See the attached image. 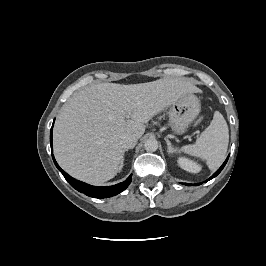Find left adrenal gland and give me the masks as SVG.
I'll list each match as a JSON object with an SVG mask.
<instances>
[{
  "label": "left adrenal gland",
  "mask_w": 266,
  "mask_h": 266,
  "mask_svg": "<svg viewBox=\"0 0 266 266\" xmlns=\"http://www.w3.org/2000/svg\"><path fill=\"white\" fill-rule=\"evenodd\" d=\"M166 144H167V152L168 154L176 153V149L172 146L171 142L165 138Z\"/></svg>",
  "instance_id": "a2214340"
}]
</instances>
